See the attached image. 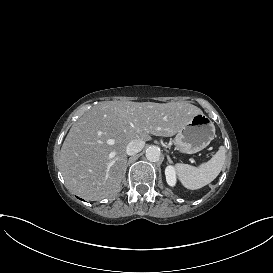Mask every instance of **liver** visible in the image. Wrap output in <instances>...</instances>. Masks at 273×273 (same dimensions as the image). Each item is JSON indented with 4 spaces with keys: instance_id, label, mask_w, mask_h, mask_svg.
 <instances>
[{
    "instance_id": "6515ba94",
    "label": "liver",
    "mask_w": 273,
    "mask_h": 273,
    "mask_svg": "<svg viewBox=\"0 0 273 273\" xmlns=\"http://www.w3.org/2000/svg\"><path fill=\"white\" fill-rule=\"evenodd\" d=\"M202 110L189 103L105 102L75 122L63 142L60 169L70 189L97 201L120 192L126 147L149 134L175 135Z\"/></svg>"
}]
</instances>
